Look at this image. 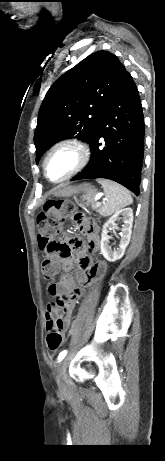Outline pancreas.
Instances as JSON below:
<instances>
[{
  "label": "pancreas",
  "mask_w": 165,
  "mask_h": 461,
  "mask_svg": "<svg viewBox=\"0 0 165 461\" xmlns=\"http://www.w3.org/2000/svg\"><path fill=\"white\" fill-rule=\"evenodd\" d=\"M84 200H86V202H84V205H86L87 207L91 206L92 209H98V206L96 205V202L94 201V196H85L83 198V201Z\"/></svg>",
  "instance_id": "pancreas-1"
}]
</instances>
